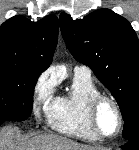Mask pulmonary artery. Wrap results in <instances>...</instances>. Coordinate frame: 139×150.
I'll use <instances>...</instances> for the list:
<instances>
[{
	"label": "pulmonary artery",
	"mask_w": 139,
	"mask_h": 150,
	"mask_svg": "<svg viewBox=\"0 0 139 150\" xmlns=\"http://www.w3.org/2000/svg\"><path fill=\"white\" fill-rule=\"evenodd\" d=\"M74 75L90 77L91 76V71L86 66H76L74 68Z\"/></svg>",
	"instance_id": "obj_1"
}]
</instances>
